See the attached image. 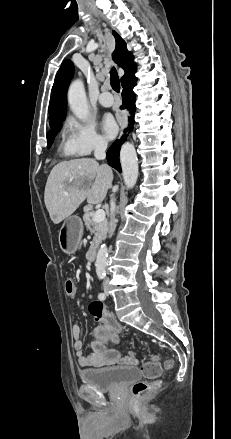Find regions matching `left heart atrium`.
<instances>
[{
  "mask_svg": "<svg viewBox=\"0 0 231 439\" xmlns=\"http://www.w3.org/2000/svg\"><path fill=\"white\" fill-rule=\"evenodd\" d=\"M101 127L105 136L112 139L118 131V126L111 115H105L101 121Z\"/></svg>",
  "mask_w": 231,
  "mask_h": 439,
  "instance_id": "1",
  "label": "left heart atrium"
}]
</instances>
